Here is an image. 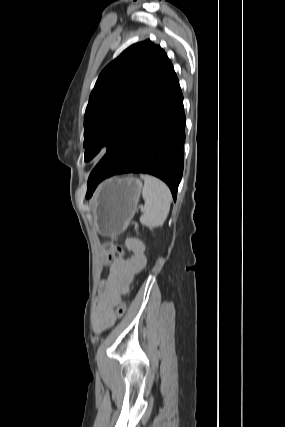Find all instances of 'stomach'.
I'll use <instances>...</instances> for the list:
<instances>
[{"label": "stomach", "instance_id": "stomach-1", "mask_svg": "<svg viewBox=\"0 0 285 427\" xmlns=\"http://www.w3.org/2000/svg\"><path fill=\"white\" fill-rule=\"evenodd\" d=\"M138 178H111L98 188L92 204L93 221L99 234L122 233L133 218L142 191Z\"/></svg>", "mask_w": 285, "mask_h": 427}]
</instances>
